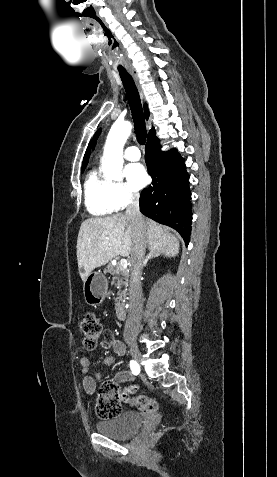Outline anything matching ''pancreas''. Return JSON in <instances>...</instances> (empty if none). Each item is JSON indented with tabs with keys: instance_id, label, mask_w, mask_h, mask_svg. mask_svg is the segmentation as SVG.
Segmentation results:
<instances>
[{
	"instance_id": "obj_1",
	"label": "pancreas",
	"mask_w": 277,
	"mask_h": 477,
	"mask_svg": "<svg viewBox=\"0 0 277 477\" xmlns=\"http://www.w3.org/2000/svg\"><path fill=\"white\" fill-rule=\"evenodd\" d=\"M105 272L114 275V279L117 280L116 286L119 289L118 292V299L123 300L126 297L128 281H129V271L126 269H122L119 264L116 266L109 265ZM124 286L125 289L121 291V287Z\"/></svg>"
}]
</instances>
